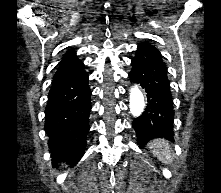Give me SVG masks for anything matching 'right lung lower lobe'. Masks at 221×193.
I'll return each instance as SVG.
<instances>
[{
    "mask_svg": "<svg viewBox=\"0 0 221 193\" xmlns=\"http://www.w3.org/2000/svg\"><path fill=\"white\" fill-rule=\"evenodd\" d=\"M91 90L84 64L54 75L45 109V131L53 164L75 165L83 156L89 131Z\"/></svg>",
    "mask_w": 221,
    "mask_h": 193,
    "instance_id": "1",
    "label": "right lung lower lobe"
}]
</instances>
